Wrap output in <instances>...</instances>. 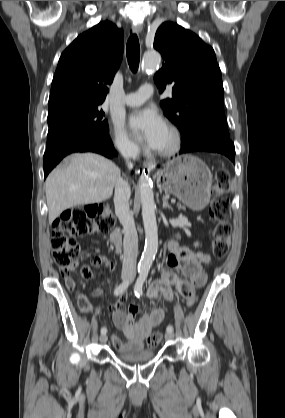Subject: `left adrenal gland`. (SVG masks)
Returning a JSON list of instances; mask_svg holds the SVG:
<instances>
[{
    "instance_id": "a2214340",
    "label": "left adrenal gland",
    "mask_w": 285,
    "mask_h": 418,
    "mask_svg": "<svg viewBox=\"0 0 285 418\" xmlns=\"http://www.w3.org/2000/svg\"><path fill=\"white\" fill-rule=\"evenodd\" d=\"M162 202H163V208H168V209H170V210H173V208H172V206L171 205H169V203H168V201H167V199H165V198H163L162 199Z\"/></svg>"
}]
</instances>
